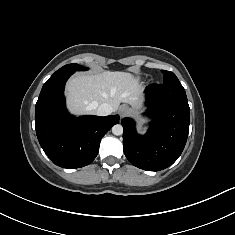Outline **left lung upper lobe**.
I'll return each mask as SVG.
<instances>
[{"label": "left lung upper lobe", "mask_w": 235, "mask_h": 235, "mask_svg": "<svg viewBox=\"0 0 235 235\" xmlns=\"http://www.w3.org/2000/svg\"><path fill=\"white\" fill-rule=\"evenodd\" d=\"M162 73L164 75L163 84H180L178 78L174 73L165 70H162Z\"/></svg>", "instance_id": "left-lung-upper-lobe-1"}]
</instances>
